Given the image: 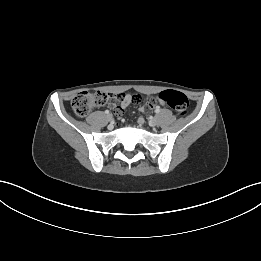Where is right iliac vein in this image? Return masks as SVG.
Segmentation results:
<instances>
[{"label": "right iliac vein", "mask_w": 261, "mask_h": 261, "mask_svg": "<svg viewBox=\"0 0 261 261\" xmlns=\"http://www.w3.org/2000/svg\"><path fill=\"white\" fill-rule=\"evenodd\" d=\"M107 119H108V121H112V119H113L112 114H108V115H107Z\"/></svg>", "instance_id": "1"}]
</instances>
